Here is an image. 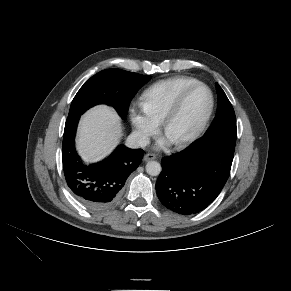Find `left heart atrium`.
<instances>
[{
  "mask_svg": "<svg viewBox=\"0 0 291 291\" xmlns=\"http://www.w3.org/2000/svg\"><path fill=\"white\" fill-rule=\"evenodd\" d=\"M171 141L167 138L165 140H162L160 143H159V146H164L165 144L167 143H170Z\"/></svg>",
  "mask_w": 291,
  "mask_h": 291,
  "instance_id": "39dd6f15",
  "label": "left heart atrium"
}]
</instances>
